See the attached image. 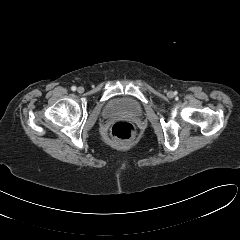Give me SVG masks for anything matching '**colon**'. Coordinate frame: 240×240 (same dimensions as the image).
Returning a JSON list of instances; mask_svg holds the SVG:
<instances>
[{
	"mask_svg": "<svg viewBox=\"0 0 240 240\" xmlns=\"http://www.w3.org/2000/svg\"><path fill=\"white\" fill-rule=\"evenodd\" d=\"M110 135L116 141L129 142L135 139L137 129L131 122L119 121L111 126Z\"/></svg>",
	"mask_w": 240,
	"mask_h": 240,
	"instance_id": "5ec220e1",
	"label": "colon"
}]
</instances>
